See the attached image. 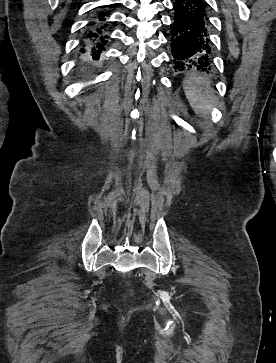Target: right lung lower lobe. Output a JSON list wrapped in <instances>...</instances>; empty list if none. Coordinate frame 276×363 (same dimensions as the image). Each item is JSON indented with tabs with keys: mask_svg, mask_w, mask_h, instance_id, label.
Segmentation results:
<instances>
[{
	"mask_svg": "<svg viewBox=\"0 0 276 363\" xmlns=\"http://www.w3.org/2000/svg\"><path fill=\"white\" fill-rule=\"evenodd\" d=\"M105 6H100L102 9ZM109 13L105 11H97L87 24L85 36L81 41V52L85 50L92 51L93 59H99L100 54L105 50V44L107 43L108 31H109Z\"/></svg>",
	"mask_w": 276,
	"mask_h": 363,
	"instance_id": "98d812e1",
	"label": "right lung lower lobe"
}]
</instances>
